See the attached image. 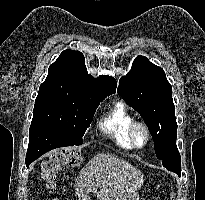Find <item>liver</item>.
Listing matches in <instances>:
<instances>
[{"label":"liver","mask_w":205,"mask_h":200,"mask_svg":"<svg viewBox=\"0 0 205 200\" xmlns=\"http://www.w3.org/2000/svg\"><path fill=\"white\" fill-rule=\"evenodd\" d=\"M143 183V174L130 163L98 153L81 169L74 187L79 200L89 193H95L98 200H136Z\"/></svg>","instance_id":"6515ba94"}]
</instances>
